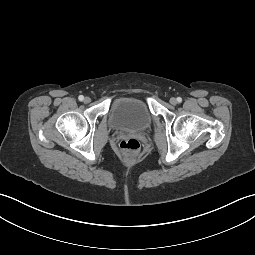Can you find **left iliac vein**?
I'll use <instances>...</instances> for the list:
<instances>
[{
  "label": "left iliac vein",
  "instance_id": "1",
  "mask_svg": "<svg viewBox=\"0 0 255 255\" xmlns=\"http://www.w3.org/2000/svg\"><path fill=\"white\" fill-rule=\"evenodd\" d=\"M170 103H171L172 105H176V104H177V100H176L174 97H172V98L170 99Z\"/></svg>",
  "mask_w": 255,
  "mask_h": 255
}]
</instances>
